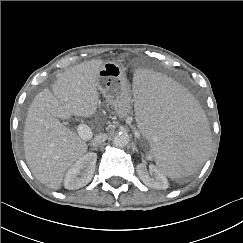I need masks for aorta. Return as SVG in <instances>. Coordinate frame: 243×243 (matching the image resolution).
Here are the masks:
<instances>
[{
	"mask_svg": "<svg viewBox=\"0 0 243 243\" xmlns=\"http://www.w3.org/2000/svg\"><path fill=\"white\" fill-rule=\"evenodd\" d=\"M129 143V136L125 133L117 134L113 138V144L115 147L124 148Z\"/></svg>",
	"mask_w": 243,
	"mask_h": 243,
	"instance_id": "obj_1",
	"label": "aorta"
}]
</instances>
